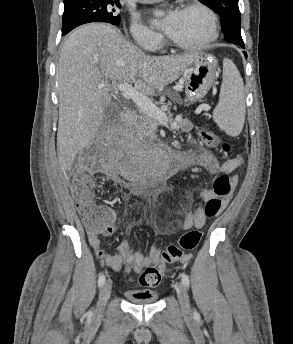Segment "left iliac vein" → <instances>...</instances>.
I'll use <instances>...</instances> for the list:
<instances>
[{
	"label": "left iliac vein",
	"instance_id": "4c4485c4",
	"mask_svg": "<svg viewBox=\"0 0 293 344\" xmlns=\"http://www.w3.org/2000/svg\"><path fill=\"white\" fill-rule=\"evenodd\" d=\"M175 289L183 314L186 316L191 315L189 298L185 286L183 283L178 282L175 285Z\"/></svg>",
	"mask_w": 293,
	"mask_h": 344
}]
</instances>
